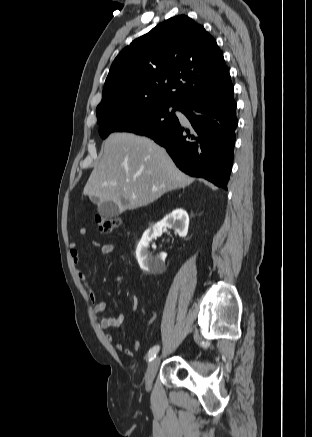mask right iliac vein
<instances>
[{
  "mask_svg": "<svg viewBox=\"0 0 312 437\" xmlns=\"http://www.w3.org/2000/svg\"><path fill=\"white\" fill-rule=\"evenodd\" d=\"M159 363H160V358L155 357L148 365L146 375H145L146 387L148 389L151 388L153 379H154V377L157 373L158 367H159Z\"/></svg>",
  "mask_w": 312,
  "mask_h": 437,
  "instance_id": "1",
  "label": "right iliac vein"
}]
</instances>
